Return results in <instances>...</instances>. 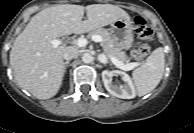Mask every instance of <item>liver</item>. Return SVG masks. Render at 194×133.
<instances>
[{"label":"liver","instance_id":"6515ba94","mask_svg":"<svg viewBox=\"0 0 194 133\" xmlns=\"http://www.w3.org/2000/svg\"><path fill=\"white\" fill-rule=\"evenodd\" d=\"M85 11L87 19L82 21ZM120 18L129 15L111 4H63L40 11L16 37L10 51V65L18 85L38 99L52 98L63 80L66 47L54 48L50 40L90 32Z\"/></svg>","mask_w":194,"mask_h":133}]
</instances>
